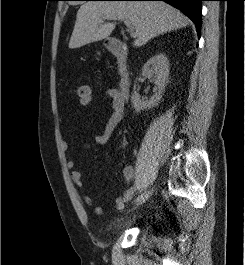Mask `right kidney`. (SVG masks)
I'll return each mask as SVG.
<instances>
[{
	"label": "right kidney",
	"instance_id": "1",
	"mask_svg": "<svg viewBox=\"0 0 245 265\" xmlns=\"http://www.w3.org/2000/svg\"><path fill=\"white\" fill-rule=\"evenodd\" d=\"M143 77L151 79L157 89V92L149 99L144 101L140 98L139 93L136 91V85L131 95L132 106L138 113L141 110L151 109L157 106L162 98V94L168 83L169 77V61L164 54H157L151 57L143 66Z\"/></svg>",
	"mask_w": 245,
	"mask_h": 265
}]
</instances>
